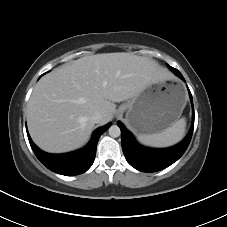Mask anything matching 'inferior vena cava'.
Segmentation results:
<instances>
[{"label": "inferior vena cava", "mask_w": 227, "mask_h": 227, "mask_svg": "<svg viewBox=\"0 0 227 227\" xmlns=\"http://www.w3.org/2000/svg\"><path fill=\"white\" fill-rule=\"evenodd\" d=\"M101 119H102V114L99 111L94 112L91 116V120L94 123H99Z\"/></svg>", "instance_id": "inferior-vena-cava-1"}]
</instances>
